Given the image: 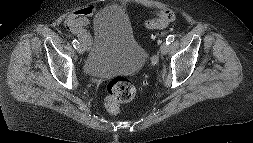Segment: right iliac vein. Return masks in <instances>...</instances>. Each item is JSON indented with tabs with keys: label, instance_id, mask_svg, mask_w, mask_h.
<instances>
[{
	"label": "right iliac vein",
	"instance_id": "obj_1",
	"mask_svg": "<svg viewBox=\"0 0 253 143\" xmlns=\"http://www.w3.org/2000/svg\"><path fill=\"white\" fill-rule=\"evenodd\" d=\"M85 50H86V46H85L83 43H80V44L78 45V47H77L78 53L84 54Z\"/></svg>",
	"mask_w": 253,
	"mask_h": 143
}]
</instances>
